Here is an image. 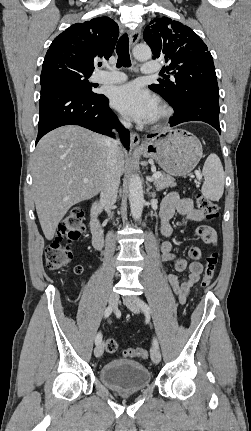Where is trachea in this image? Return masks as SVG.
Returning <instances> with one entry per match:
<instances>
[{
    "instance_id": "3493384b",
    "label": "trachea",
    "mask_w": 251,
    "mask_h": 431,
    "mask_svg": "<svg viewBox=\"0 0 251 431\" xmlns=\"http://www.w3.org/2000/svg\"><path fill=\"white\" fill-rule=\"evenodd\" d=\"M116 52L118 55L117 67H130V55H129V38L127 34H123L117 43Z\"/></svg>"
}]
</instances>
